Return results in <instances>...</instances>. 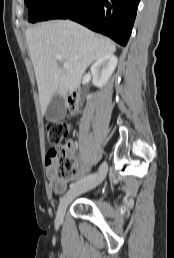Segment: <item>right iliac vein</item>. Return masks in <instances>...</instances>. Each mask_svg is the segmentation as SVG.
<instances>
[{
    "instance_id": "63e3f726",
    "label": "right iliac vein",
    "mask_w": 174,
    "mask_h": 258,
    "mask_svg": "<svg viewBox=\"0 0 174 258\" xmlns=\"http://www.w3.org/2000/svg\"><path fill=\"white\" fill-rule=\"evenodd\" d=\"M107 164H102L98 170V173L95 178L84 182L81 185H77L72 187L60 200L58 210H57V221L62 222L66 209L68 205L74 200L75 197L78 195L85 193L93 188H95L97 185H99L107 174Z\"/></svg>"
}]
</instances>
